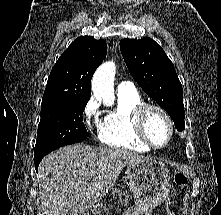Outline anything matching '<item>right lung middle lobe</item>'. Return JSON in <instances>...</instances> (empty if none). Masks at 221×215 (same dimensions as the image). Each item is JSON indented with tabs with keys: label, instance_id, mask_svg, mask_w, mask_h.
<instances>
[{
	"label": "right lung middle lobe",
	"instance_id": "right-lung-middle-lobe-1",
	"mask_svg": "<svg viewBox=\"0 0 221 215\" xmlns=\"http://www.w3.org/2000/svg\"><path fill=\"white\" fill-rule=\"evenodd\" d=\"M88 100H55L41 104L34 157L46 155L64 145L85 140L89 133L82 122Z\"/></svg>",
	"mask_w": 221,
	"mask_h": 215
}]
</instances>
